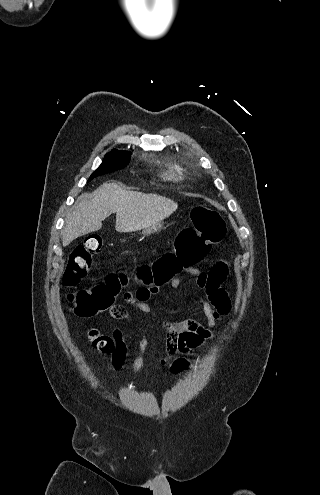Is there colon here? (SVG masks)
Wrapping results in <instances>:
<instances>
[{"label": "colon", "instance_id": "5ec220e1", "mask_svg": "<svg viewBox=\"0 0 320 495\" xmlns=\"http://www.w3.org/2000/svg\"><path fill=\"white\" fill-rule=\"evenodd\" d=\"M191 220L193 226L178 232L172 250L164 252L152 265L139 268L137 277L145 284L158 286L182 269L195 267L208 256L214 245L224 239L226 227L222 217L204 202L192 209ZM101 247L102 238L90 235L72 251L63 274L66 287L74 288L80 284L91 268L93 256ZM127 281L125 274L110 273L103 282L89 289L69 293L68 303L77 315L93 317L114 307V299ZM135 297L137 300H146L148 295L138 292ZM89 340L102 353H111L115 349L113 339L95 329L89 332ZM115 355L113 362L119 360Z\"/></svg>", "mask_w": 320, "mask_h": 495}]
</instances>
